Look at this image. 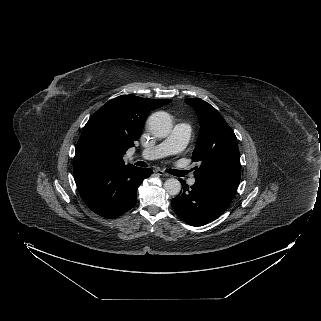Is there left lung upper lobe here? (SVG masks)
Listing matches in <instances>:
<instances>
[{"label":"left lung upper lobe","instance_id":"1","mask_svg":"<svg viewBox=\"0 0 321 321\" xmlns=\"http://www.w3.org/2000/svg\"><path fill=\"white\" fill-rule=\"evenodd\" d=\"M199 119L200 132L192 159L194 177L214 174L240 175V155L237 138L222 115L200 98L185 99Z\"/></svg>","mask_w":321,"mask_h":321}]
</instances>
